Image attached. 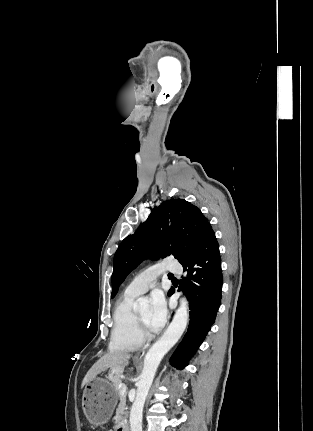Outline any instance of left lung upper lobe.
Returning <instances> with one entry per match:
<instances>
[{
  "label": "left lung upper lobe",
  "mask_w": 313,
  "mask_h": 431,
  "mask_svg": "<svg viewBox=\"0 0 313 431\" xmlns=\"http://www.w3.org/2000/svg\"><path fill=\"white\" fill-rule=\"evenodd\" d=\"M209 225L200 209L186 200L171 199L155 207L137 231L121 242L115 253L111 297L145 258L173 255L180 263L187 260Z\"/></svg>",
  "instance_id": "left-lung-upper-lobe-1"
}]
</instances>
